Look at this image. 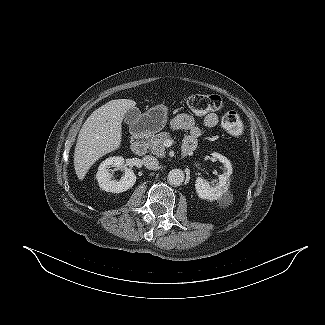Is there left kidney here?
<instances>
[{
    "mask_svg": "<svg viewBox=\"0 0 325 325\" xmlns=\"http://www.w3.org/2000/svg\"><path fill=\"white\" fill-rule=\"evenodd\" d=\"M212 156L218 159L224 165L223 174L219 175V184L212 187L202 177H198L195 182V188L198 196L201 199L215 201L221 199L226 195L231 182L230 176L232 174V165L230 161L219 153H213Z\"/></svg>",
    "mask_w": 325,
    "mask_h": 325,
    "instance_id": "5707ae66",
    "label": "left kidney"
}]
</instances>
